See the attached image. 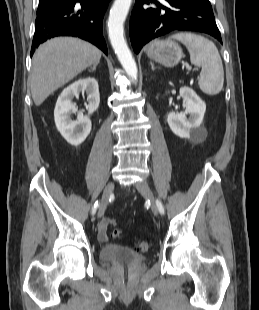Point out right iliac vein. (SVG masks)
Wrapping results in <instances>:
<instances>
[{"label":"right iliac vein","mask_w":259,"mask_h":310,"mask_svg":"<svg viewBox=\"0 0 259 310\" xmlns=\"http://www.w3.org/2000/svg\"><path fill=\"white\" fill-rule=\"evenodd\" d=\"M114 190V183L113 182H109L103 192L102 198H101V202H100V206H99V210H98V218H101L104 215V212L107 208L108 205V200L110 195L112 194Z\"/></svg>","instance_id":"63e3f726"}]
</instances>
